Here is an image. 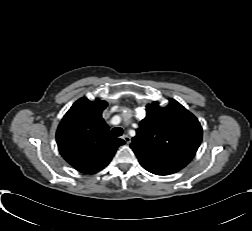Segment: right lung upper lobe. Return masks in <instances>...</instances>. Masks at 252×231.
Listing matches in <instances>:
<instances>
[{"instance_id":"cb5924a9","label":"right lung upper lobe","mask_w":252,"mask_h":231,"mask_svg":"<svg viewBox=\"0 0 252 231\" xmlns=\"http://www.w3.org/2000/svg\"><path fill=\"white\" fill-rule=\"evenodd\" d=\"M107 102L80 98L60 122L56 141L63 158L76 170L92 174L109 164L125 142L109 134L102 118Z\"/></svg>"}]
</instances>
